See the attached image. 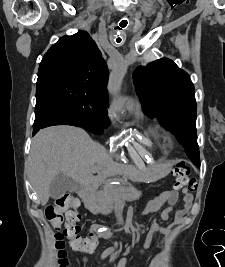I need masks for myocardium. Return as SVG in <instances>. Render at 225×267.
I'll list each match as a JSON object with an SVG mask.
<instances>
[{"label":"myocardium","instance_id":"obj_1","mask_svg":"<svg viewBox=\"0 0 225 267\" xmlns=\"http://www.w3.org/2000/svg\"><path fill=\"white\" fill-rule=\"evenodd\" d=\"M167 139H169V140H170V139H171V138H170V136H167Z\"/></svg>","mask_w":225,"mask_h":267}]
</instances>
